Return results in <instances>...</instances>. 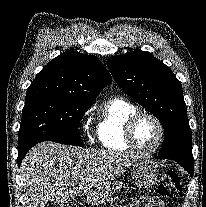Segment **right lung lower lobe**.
Segmentation results:
<instances>
[{
	"label": "right lung lower lobe",
	"instance_id": "right-lung-lower-lobe-1",
	"mask_svg": "<svg viewBox=\"0 0 206 207\" xmlns=\"http://www.w3.org/2000/svg\"><path fill=\"white\" fill-rule=\"evenodd\" d=\"M28 150H24V151H19L18 152V158H17V164H18V166H20L21 161H22L23 157L25 156V154L27 153Z\"/></svg>",
	"mask_w": 206,
	"mask_h": 207
}]
</instances>
